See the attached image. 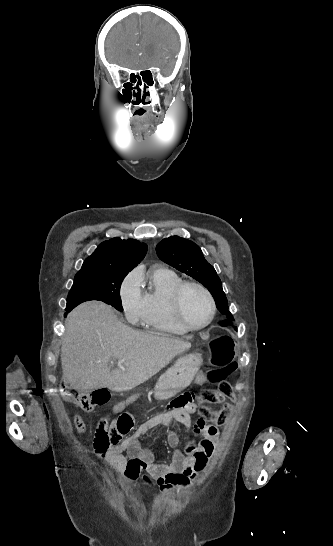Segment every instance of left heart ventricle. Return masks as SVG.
Here are the masks:
<instances>
[{"mask_svg":"<svg viewBox=\"0 0 333 546\" xmlns=\"http://www.w3.org/2000/svg\"><path fill=\"white\" fill-rule=\"evenodd\" d=\"M182 307L186 319L193 325H200L210 316V305L205 294L195 288L189 287L182 297Z\"/></svg>","mask_w":333,"mask_h":546,"instance_id":"1","label":"left heart ventricle"}]
</instances>
